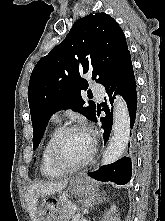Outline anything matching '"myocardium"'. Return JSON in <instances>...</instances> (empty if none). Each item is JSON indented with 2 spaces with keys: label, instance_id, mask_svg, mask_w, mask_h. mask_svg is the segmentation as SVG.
I'll use <instances>...</instances> for the list:
<instances>
[{
  "label": "myocardium",
  "instance_id": "obj_1",
  "mask_svg": "<svg viewBox=\"0 0 165 221\" xmlns=\"http://www.w3.org/2000/svg\"><path fill=\"white\" fill-rule=\"evenodd\" d=\"M75 130H82L87 133V131L85 130V128L83 126H81L79 124H69V125L61 127L55 133V135L53 136V138L51 140V143L49 146V160H50V163L53 166V168L59 172L70 173V172L77 171V170L83 168L84 166H86L95 156V153H96L95 139L90 134L87 133L90 137V140H91V148H90L88 155L81 162H79L75 165H72V166L63 165L59 162V160L57 158L58 144L64 135H66L67 133H69L71 131H75Z\"/></svg>",
  "mask_w": 165,
  "mask_h": 221
}]
</instances>
